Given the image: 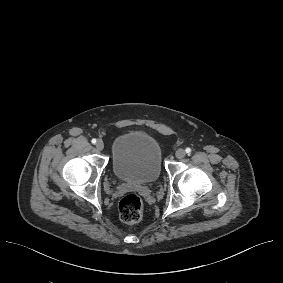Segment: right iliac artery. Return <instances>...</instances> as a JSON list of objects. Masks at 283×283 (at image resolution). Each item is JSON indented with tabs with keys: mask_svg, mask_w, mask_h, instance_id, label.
Listing matches in <instances>:
<instances>
[{
	"mask_svg": "<svg viewBox=\"0 0 283 283\" xmlns=\"http://www.w3.org/2000/svg\"><path fill=\"white\" fill-rule=\"evenodd\" d=\"M93 144H95L96 142H97V140L96 139H92V141H91Z\"/></svg>",
	"mask_w": 283,
	"mask_h": 283,
	"instance_id": "right-iliac-artery-1",
	"label": "right iliac artery"
}]
</instances>
